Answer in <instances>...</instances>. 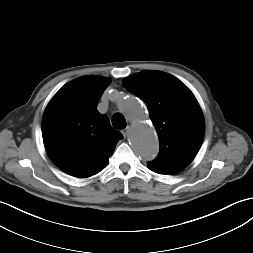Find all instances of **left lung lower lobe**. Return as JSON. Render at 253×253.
Returning <instances> with one entry per match:
<instances>
[{
    "label": "left lung lower lobe",
    "mask_w": 253,
    "mask_h": 253,
    "mask_svg": "<svg viewBox=\"0 0 253 253\" xmlns=\"http://www.w3.org/2000/svg\"><path fill=\"white\" fill-rule=\"evenodd\" d=\"M147 167L150 170H152L153 172H156V173H159V174H173V172L162 170V169H158V168H155V167L150 166V165H148Z\"/></svg>",
    "instance_id": "0a47b994"
}]
</instances>
